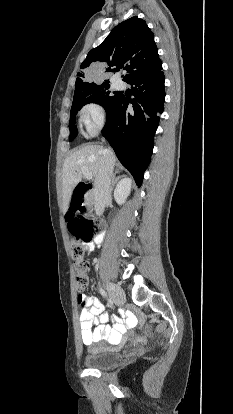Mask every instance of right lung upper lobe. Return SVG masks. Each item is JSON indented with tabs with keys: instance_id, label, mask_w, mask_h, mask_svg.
I'll return each instance as SVG.
<instances>
[{
	"instance_id": "right-lung-upper-lobe-1",
	"label": "right lung upper lobe",
	"mask_w": 233,
	"mask_h": 414,
	"mask_svg": "<svg viewBox=\"0 0 233 414\" xmlns=\"http://www.w3.org/2000/svg\"><path fill=\"white\" fill-rule=\"evenodd\" d=\"M99 64L106 65L107 71L111 72L120 68L126 70L123 77L126 82L162 67L154 35L146 22L137 16L117 25L98 47L88 53L80 66L83 71L77 74L79 77L76 79L74 97L109 82L90 81L93 67Z\"/></svg>"
}]
</instances>
